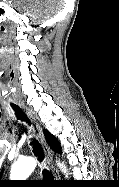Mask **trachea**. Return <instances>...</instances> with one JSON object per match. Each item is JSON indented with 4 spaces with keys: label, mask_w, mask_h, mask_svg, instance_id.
<instances>
[{
    "label": "trachea",
    "mask_w": 119,
    "mask_h": 187,
    "mask_svg": "<svg viewBox=\"0 0 119 187\" xmlns=\"http://www.w3.org/2000/svg\"><path fill=\"white\" fill-rule=\"evenodd\" d=\"M13 109L15 110L18 119L28 122L27 116L19 107L13 106ZM31 144L33 145L34 154L38 156L39 160H42L44 158V153L42 151L41 145L36 140H33ZM43 177L45 179H53V175L47 170L43 171Z\"/></svg>",
    "instance_id": "3493384b"
}]
</instances>
